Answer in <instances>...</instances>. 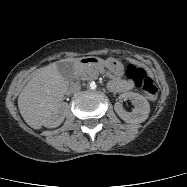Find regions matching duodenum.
<instances>
[{"mask_svg":"<svg viewBox=\"0 0 187 187\" xmlns=\"http://www.w3.org/2000/svg\"><path fill=\"white\" fill-rule=\"evenodd\" d=\"M92 61H93V59L89 58V57L80 58L75 61L74 69L77 70V69L81 68L82 66L91 63Z\"/></svg>","mask_w":187,"mask_h":187,"instance_id":"410a0bca","label":"duodenum"}]
</instances>
